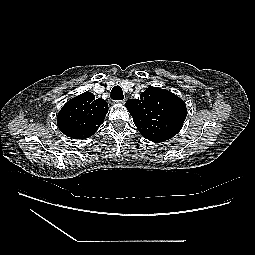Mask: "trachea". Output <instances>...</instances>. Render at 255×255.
<instances>
[{
    "mask_svg": "<svg viewBox=\"0 0 255 255\" xmlns=\"http://www.w3.org/2000/svg\"><path fill=\"white\" fill-rule=\"evenodd\" d=\"M111 98L113 100H123L124 99L123 91H122V88L120 86H115L112 89Z\"/></svg>",
    "mask_w": 255,
    "mask_h": 255,
    "instance_id": "trachea-1",
    "label": "trachea"
}]
</instances>
